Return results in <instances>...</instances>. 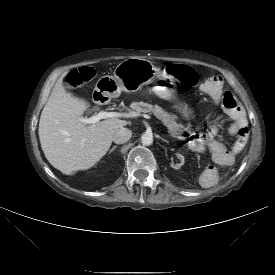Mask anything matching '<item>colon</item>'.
<instances>
[{"mask_svg":"<svg viewBox=\"0 0 275 275\" xmlns=\"http://www.w3.org/2000/svg\"><path fill=\"white\" fill-rule=\"evenodd\" d=\"M167 71L175 76L181 84L187 87H195L200 82V77L196 71L192 68L181 65V64H171L167 67ZM94 76V71L90 67H82L71 71L66 78V85L69 89H76L81 87L83 84L89 82ZM211 78L204 79V83L207 84ZM235 104V99L233 95L226 91L222 95V105L225 110L231 109ZM249 131L247 128L239 130L236 134L235 141L232 145L231 151L234 153L240 152L246 145L248 141Z\"/></svg>","mask_w":275,"mask_h":275,"instance_id":"5ec220e1","label":"colon"}]
</instances>
